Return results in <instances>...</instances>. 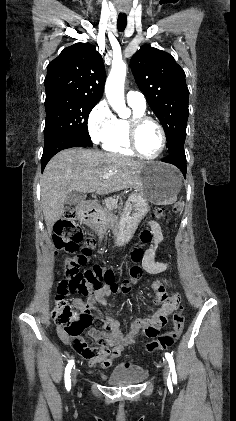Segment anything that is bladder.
Segmentation results:
<instances>
[{
  "label": "bladder",
  "mask_w": 236,
  "mask_h": 421,
  "mask_svg": "<svg viewBox=\"0 0 236 421\" xmlns=\"http://www.w3.org/2000/svg\"><path fill=\"white\" fill-rule=\"evenodd\" d=\"M147 379V374L141 371L133 362H119L110 371L106 383L136 384Z\"/></svg>",
  "instance_id": "1"
}]
</instances>
